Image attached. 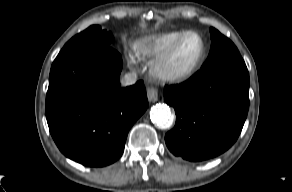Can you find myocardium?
I'll list each match as a JSON object with an SVG mask.
<instances>
[{
    "label": "myocardium",
    "instance_id": "myocardium-1",
    "mask_svg": "<svg viewBox=\"0 0 292 192\" xmlns=\"http://www.w3.org/2000/svg\"><path fill=\"white\" fill-rule=\"evenodd\" d=\"M197 36L201 41V53L195 62L188 68L177 70L173 66L176 54L183 41L191 36ZM207 57V44L204 37L196 31H186L168 49V51L156 62L154 66L155 76L165 82H182L191 78L204 64Z\"/></svg>",
    "mask_w": 292,
    "mask_h": 192
}]
</instances>
